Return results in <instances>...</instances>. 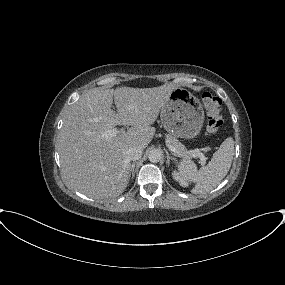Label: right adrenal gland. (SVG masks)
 I'll list each match as a JSON object with an SVG mask.
<instances>
[{
    "instance_id": "right-adrenal-gland-1",
    "label": "right adrenal gland",
    "mask_w": 285,
    "mask_h": 285,
    "mask_svg": "<svg viewBox=\"0 0 285 285\" xmlns=\"http://www.w3.org/2000/svg\"><path fill=\"white\" fill-rule=\"evenodd\" d=\"M135 165H136V162H133L132 165H131L130 172H129V178L132 175V179H134V176H135V172H134Z\"/></svg>"
}]
</instances>
